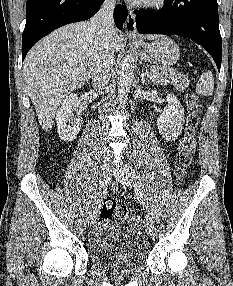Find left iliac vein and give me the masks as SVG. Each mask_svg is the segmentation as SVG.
I'll return each mask as SVG.
<instances>
[{"instance_id": "left-iliac-vein-1", "label": "left iliac vein", "mask_w": 233, "mask_h": 286, "mask_svg": "<svg viewBox=\"0 0 233 286\" xmlns=\"http://www.w3.org/2000/svg\"><path fill=\"white\" fill-rule=\"evenodd\" d=\"M115 179L125 187H131L132 177L129 168L121 167L113 171ZM146 232L150 237H154L155 228L149 216L146 217Z\"/></svg>"}]
</instances>
